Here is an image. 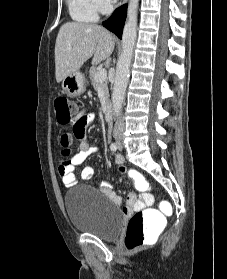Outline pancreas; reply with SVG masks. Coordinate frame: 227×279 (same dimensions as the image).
<instances>
[{
	"label": "pancreas",
	"instance_id": "cf45deb5",
	"mask_svg": "<svg viewBox=\"0 0 227 279\" xmlns=\"http://www.w3.org/2000/svg\"><path fill=\"white\" fill-rule=\"evenodd\" d=\"M98 71L97 68L93 67L91 70H90V79H91V82H92V85L94 86V88L98 89V88H101L104 92V98H105V101L108 103L109 102V90H108V81L107 79L99 82L95 79V75H96V72Z\"/></svg>",
	"mask_w": 227,
	"mask_h": 279
}]
</instances>
